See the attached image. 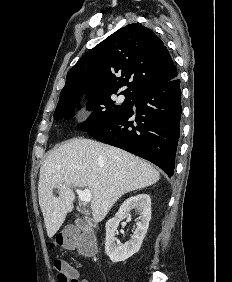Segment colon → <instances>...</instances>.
Returning <instances> with one entry per match:
<instances>
[{
  "label": "colon",
  "mask_w": 232,
  "mask_h": 282,
  "mask_svg": "<svg viewBox=\"0 0 232 282\" xmlns=\"http://www.w3.org/2000/svg\"><path fill=\"white\" fill-rule=\"evenodd\" d=\"M55 244L86 256L93 252L92 239L88 235H79L74 232L59 234L55 239ZM53 267L57 273L58 282H76L72 273L73 268L65 260L55 258Z\"/></svg>",
  "instance_id": "obj_1"
}]
</instances>
